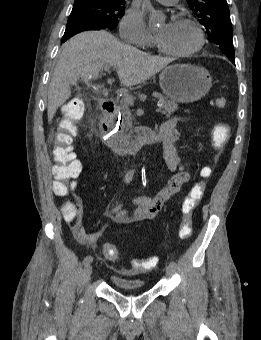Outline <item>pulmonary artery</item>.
<instances>
[{
	"label": "pulmonary artery",
	"mask_w": 261,
	"mask_h": 340,
	"mask_svg": "<svg viewBox=\"0 0 261 340\" xmlns=\"http://www.w3.org/2000/svg\"><path fill=\"white\" fill-rule=\"evenodd\" d=\"M157 1L164 5H170L176 3L178 0H157Z\"/></svg>",
	"instance_id": "pulmonary-artery-1"
}]
</instances>
